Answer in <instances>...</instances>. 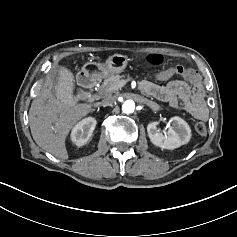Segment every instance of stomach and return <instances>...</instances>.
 Instances as JSON below:
<instances>
[{"instance_id":"1","label":"stomach","mask_w":237,"mask_h":237,"mask_svg":"<svg viewBox=\"0 0 237 237\" xmlns=\"http://www.w3.org/2000/svg\"><path fill=\"white\" fill-rule=\"evenodd\" d=\"M128 63L127 56L114 54L110 56L105 64H95L99 73L98 78H106L111 74H119L126 68Z\"/></svg>"}]
</instances>
